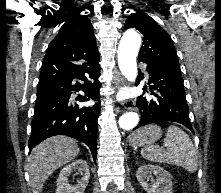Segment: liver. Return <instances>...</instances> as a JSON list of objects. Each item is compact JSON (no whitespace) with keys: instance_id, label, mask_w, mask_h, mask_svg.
Instances as JSON below:
<instances>
[{"instance_id":"1","label":"liver","mask_w":221,"mask_h":193,"mask_svg":"<svg viewBox=\"0 0 221 193\" xmlns=\"http://www.w3.org/2000/svg\"><path fill=\"white\" fill-rule=\"evenodd\" d=\"M78 154L77 142L63 135L53 136L38 144L32 150L27 165L32 192L41 193L48 177Z\"/></svg>"}]
</instances>
